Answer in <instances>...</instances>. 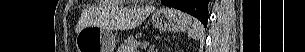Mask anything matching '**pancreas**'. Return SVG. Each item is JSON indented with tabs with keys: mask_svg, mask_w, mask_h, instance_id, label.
Segmentation results:
<instances>
[{
	"mask_svg": "<svg viewBox=\"0 0 305 52\" xmlns=\"http://www.w3.org/2000/svg\"><path fill=\"white\" fill-rule=\"evenodd\" d=\"M139 41L136 38L130 37L118 48L119 52H137Z\"/></svg>",
	"mask_w": 305,
	"mask_h": 52,
	"instance_id": "obj_1",
	"label": "pancreas"
}]
</instances>
